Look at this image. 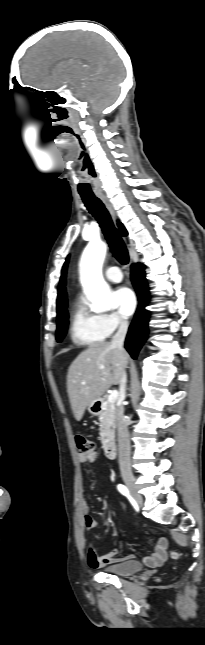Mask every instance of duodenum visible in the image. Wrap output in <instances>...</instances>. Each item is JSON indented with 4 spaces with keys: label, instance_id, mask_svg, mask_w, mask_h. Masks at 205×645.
Here are the masks:
<instances>
[{
    "label": "duodenum",
    "instance_id": "410a0bca",
    "mask_svg": "<svg viewBox=\"0 0 205 645\" xmlns=\"http://www.w3.org/2000/svg\"><path fill=\"white\" fill-rule=\"evenodd\" d=\"M97 410H100V405L97 406ZM104 453L108 459H115L117 456V445L114 441H108L104 445Z\"/></svg>",
    "mask_w": 205,
    "mask_h": 645
}]
</instances>
